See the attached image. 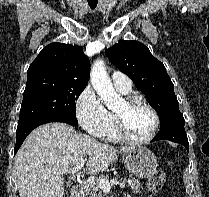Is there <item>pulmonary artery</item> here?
Masks as SVG:
<instances>
[{
  "label": "pulmonary artery",
  "mask_w": 209,
  "mask_h": 197,
  "mask_svg": "<svg viewBox=\"0 0 209 197\" xmlns=\"http://www.w3.org/2000/svg\"><path fill=\"white\" fill-rule=\"evenodd\" d=\"M111 78L116 90L125 93L131 90L132 82L126 74L115 71L112 73Z\"/></svg>",
  "instance_id": "1"
}]
</instances>
